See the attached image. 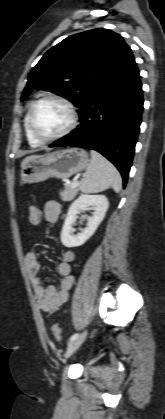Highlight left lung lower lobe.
Returning <instances> with one entry per match:
<instances>
[{"mask_svg":"<svg viewBox=\"0 0 165 419\" xmlns=\"http://www.w3.org/2000/svg\"><path fill=\"white\" fill-rule=\"evenodd\" d=\"M142 85L134 58L109 77L79 110L81 124L50 147L98 151L120 171L126 185L141 124Z\"/></svg>","mask_w":165,"mask_h":419,"instance_id":"obj_1","label":"left lung lower lobe"}]
</instances>
